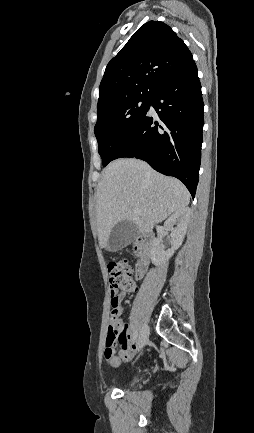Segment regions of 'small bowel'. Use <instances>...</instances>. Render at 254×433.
<instances>
[{
	"label": "small bowel",
	"mask_w": 254,
	"mask_h": 433,
	"mask_svg": "<svg viewBox=\"0 0 254 433\" xmlns=\"http://www.w3.org/2000/svg\"><path fill=\"white\" fill-rule=\"evenodd\" d=\"M114 293L119 302L125 297L124 291L116 290ZM119 310L120 312L122 311L120 306ZM120 323L122 325V334L119 340V351L112 354L105 353V359L107 363L113 367L120 365L121 362H129L132 359V349L135 346L134 339L131 338V334L129 332V325L121 321Z\"/></svg>",
	"instance_id": "small-bowel-1"
}]
</instances>
